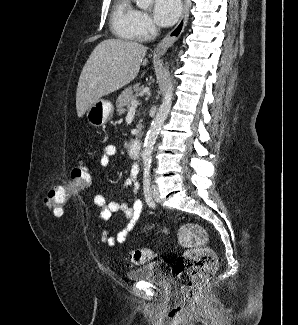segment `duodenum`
I'll list each match as a JSON object with an SVG mask.
<instances>
[{"label": "duodenum", "instance_id": "duodenum-1", "mask_svg": "<svg viewBox=\"0 0 298 325\" xmlns=\"http://www.w3.org/2000/svg\"><path fill=\"white\" fill-rule=\"evenodd\" d=\"M142 151V142L138 139H134L128 144V152L131 157L139 158Z\"/></svg>", "mask_w": 298, "mask_h": 325}]
</instances>
